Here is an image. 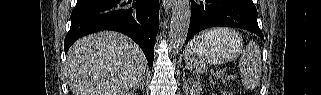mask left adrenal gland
<instances>
[{
  "instance_id": "left-adrenal-gland-1",
  "label": "left adrenal gland",
  "mask_w": 321,
  "mask_h": 95,
  "mask_svg": "<svg viewBox=\"0 0 321 95\" xmlns=\"http://www.w3.org/2000/svg\"><path fill=\"white\" fill-rule=\"evenodd\" d=\"M183 89L186 91L187 90V82L186 80L183 81Z\"/></svg>"
}]
</instances>
